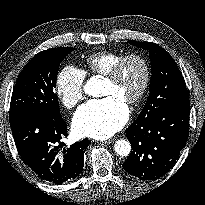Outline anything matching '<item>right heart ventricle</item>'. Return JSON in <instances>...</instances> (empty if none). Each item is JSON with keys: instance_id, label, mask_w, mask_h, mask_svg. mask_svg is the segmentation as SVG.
<instances>
[{"instance_id": "right-heart-ventricle-1", "label": "right heart ventricle", "mask_w": 205, "mask_h": 205, "mask_svg": "<svg viewBox=\"0 0 205 205\" xmlns=\"http://www.w3.org/2000/svg\"><path fill=\"white\" fill-rule=\"evenodd\" d=\"M124 55L116 52H97L84 61L83 73L87 76L106 75Z\"/></svg>"}]
</instances>
